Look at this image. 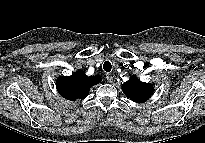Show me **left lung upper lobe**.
Instances as JSON below:
<instances>
[{"label":"left lung upper lobe","mask_w":205,"mask_h":143,"mask_svg":"<svg viewBox=\"0 0 205 143\" xmlns=\"http://www.w3.org/2000/svg\"><path fill=\"white\" fill-rule=\"evenodd\" d=\"M123 93L132 101L142 103L148 100L154 90L152 84L141 82L135 75L122 85Z\"/></svg>","instance_id":"left-lung-upper-lobe-1"}]
</instances>
